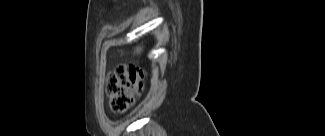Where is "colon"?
<instances>
[{
    "mask_svg": "<svg viewBox=\"0 0 325 136\" xmlns=\"http://www.w3.org/2000/svg\"><path fill=\"white\" fill-rule=\"evenodd\" d=\"M144 72L134 65L118 66L107 79L109 105L113 112L124 113L143 90Z\"/></svg>",
    "mask_w": 325,
    "mask_h": 136,
    "instance_id": "obj_1",
    "label": "colon"
}]
</instances>
